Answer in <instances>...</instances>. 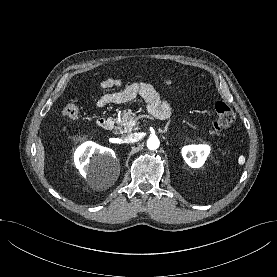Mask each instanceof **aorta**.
I'll return each instance as SVG.
<instances>
[{"mask_svg":"<svg viewBox=\"0 0 277 277\" xmlns=\"http://www.w3.org/2000/svg\"><path fill=\"white\" fill-rule=\"evenodd\" d=\"M159 145H160V141L156 136H151L147 140V147L150 150H156L159 147Z\"/></svg>","mask_w":277,"mask_h":277,"instance_id":"1","label":"aorta"}]
</instances>
